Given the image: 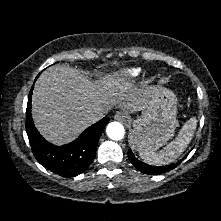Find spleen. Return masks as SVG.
<instances>
[{
  "instance_id": "obj_1",
  "label": "spleen",
  "mask_w": 221,
  "mask_h": 221,
  "mask_svg": "<svg viewBox=\"0 0 221 221\" xmlns=\"http://www.w3.org/2000/svg\"><path fill=\"white\" fill-rule=\"evenodd\" d=\"M196 126L197 119L195 117L190 118L183 125L175 140L158 152L149 150L140 151V158L150 165H166L174 162L191 142Z\"/></svg>"
}]
</instances>
